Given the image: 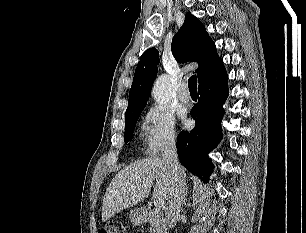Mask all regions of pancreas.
Returning a JSON list of instances; mask_svg holds the SVG:
<instances>
[{"label":"pancreas","instance_id":"cf45deb5","mask_svg":"<svg viewBox=\"0 0 306 233\" xmlns=\"http://www.w3.org/2000/svg\"><path fill=\"white\" fill-rule=\"evenodd\" d=\"M149 223L151 225L150 227L151 233H166L165 219L162 216L160 210L154 209L150 211Z\"/></svg>","mask_w":306,"mask_h":233}]
</instances>
